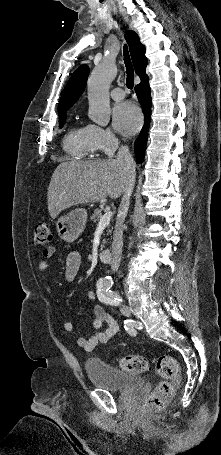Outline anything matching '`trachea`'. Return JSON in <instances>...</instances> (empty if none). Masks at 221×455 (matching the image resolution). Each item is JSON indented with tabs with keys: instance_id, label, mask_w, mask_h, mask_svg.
<instances>
[{
	"instance_id": "trachea-1",
	"label": "trachea",
	"mask_w": 221,
	"mask_h": 455,
	"mask_svg": "<svg viewBox=\"0 0 221 455\" xmlns=\"http://www.w3.org/2000/svg\"><path fill=\"white\" fill-rule=\"evenodd\" d=\"M123 51H124V62H125L126 74H127L126 86L129 89H132L133 86H134V69H133L132 62H131V59H130V55H129V52H128V48H127L126 45H124V50Z\"/></svg>"
}]
</instances>
